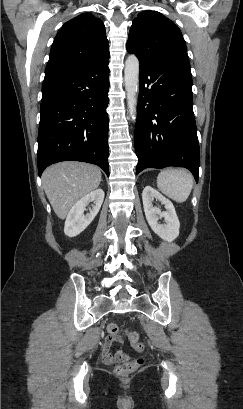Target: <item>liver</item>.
<instances>
[{"label": "liver", "instance_id": "liver-1", "mask_svg": "<svg viewBox=\"0 0 243 409\" xmlns=\"http://www.w3.org/2000/svg\"><path fill=\"white\" fill-rule=\"evenodd\" d=\"M101 179L97 166L75 161L54 164L42 174L45 193L60 219H64L80 199L94 191Z\"/></svg>", "mask_w": 243, "mask_h": 409}]
</instances>
